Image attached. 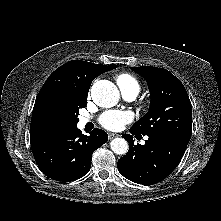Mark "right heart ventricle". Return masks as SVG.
Instances as JSON below:
<instances>
[{
    "mask_svg": "<svg viewBox=\"0 0 221 221\" xmlns=\"http://www.w3.org/2000/svg\"><path fill=\"white\" fill-rule=\"evenodd\" d=\"M116 82L121 92L135 91L139 92L140 84L138 80L129 73H121L116 76Z\"/></svg>",
    "mask_w": 221,
    "mask_h": 221,
    "instance_id": "right-heart-ventricle-1",
    "label": "right heart ventricle"
}]
</instances>
